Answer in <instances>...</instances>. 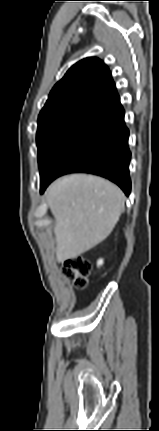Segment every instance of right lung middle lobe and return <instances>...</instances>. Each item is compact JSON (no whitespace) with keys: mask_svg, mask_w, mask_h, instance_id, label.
Masks as SVG:
<instances>
[{"mask_svg":"<svg viewBox=\"0 0 159 431\" xmlns=\"http://www.w3.org/2000/svg\"><path fill=\"white\" fill-rule=\"evenodd\" d=\"M85 122L84 119L70 116H51L38 119L36 141L40 173L61 141Z\"/></svg>","mask_w":159,"mask_h":431,"instance_id":"dd1d6c3e","label":"right lung middle lobe"}]
</instances>
